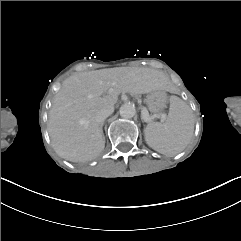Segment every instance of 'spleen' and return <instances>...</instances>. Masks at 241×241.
<instances>
[{
  "label": "spleen",
  "mask_w": 241,
  "mask_h": 241,
  "mask_svg": "<svg viewBox=\"0 0 241 241\" xmlns=\"http://www.w3.org/2000/svg\"><path fill=\"white\" fill-rule=\"evenodd\" d=\"M168 108L167 122L147 124L143 132L151 149L165 156H174L188 145L194 131V119L188 104L179 97L170 99Z\"/></svg>",
  "instance_id": "3e777b00"
}]
</instances>
